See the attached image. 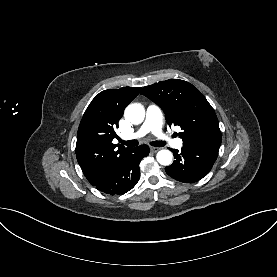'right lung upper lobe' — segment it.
<instances>
[{
    "mask_svg": "<svg viewBox=\"0 0 277 277\" xmlns=\"http://www.w3.org/2000/svg\"><path fill=\"white\" fill-rule=\"evenodd\" d=\"M141 88L123 87L100 92L87 107L80 122L77 161L88 181L94 185L108 175L132 148L112 143L115 128L125 107L139 94Z\"/></svg>",
    "mask_w": 277,
    "mask_h": 277,
    "instance_id": "obj_1",
    "label": "right lung upper lobe"
}]
</instances>
